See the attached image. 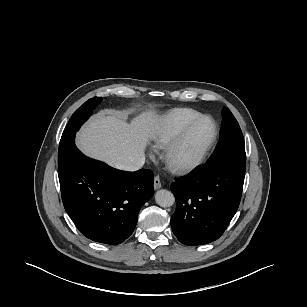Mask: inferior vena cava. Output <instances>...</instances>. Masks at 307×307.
Wrapping results in <instances>:
<instances>
[{
	"label": "inferior vena cava",
	"mask_w": 307,
	"mask_h": 307,
	"mask_svg": "<svg viewBox=\"0 0 307 307\" xmlns=\"http://www.w3.org/2000/svg\"><path fill=\"white\" fill-rule=\"evenodd\" d=\"M144 163H145V157L141 156L138 158H134L129 162L117 164L116 168L125 170V171H136V170L141 169Z\"/></svg>",
	"instance_id": "inferior-vena-cava-1"
}]
</instances>
